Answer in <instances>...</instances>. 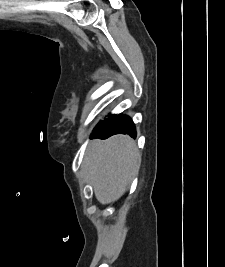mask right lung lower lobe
I'll return each mask as SVG.
<instances>
[{
	"label": "right lung lower lobe",
	"mask_w": 225,
	"mask_h": 267,
	"mask_svg": "<svg viewBox=\"0 0 225 267\" xmlns=\"http://www.w3.org/2000/svg\"><path fill=\"white\" fill-rule=\"evenodd\" d=\"M135 125L127 115H109L108 118L99 122L91 134V138L106 139L115 134H128L135 138Z\"/></svg>",
	"instance_id": "1"
}]
</instances>
